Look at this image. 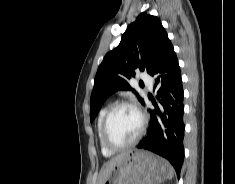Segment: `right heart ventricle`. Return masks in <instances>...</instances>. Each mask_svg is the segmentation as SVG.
<instances>
[{
  "mask_svg": "<svg viewBox=\"0 0 235 184\" xmlns=\"http://www.w3.org/2000/svg\"><path fill=\"white\" fill-rule=\"evenodd\" d=\"M109 106H105L104 108L101 109L99 116H98V120H97V125H96V134H97V139H98V143L100 145L102 154L106 157H111L114 155V152H111L109 150H107L105 148V146L103 145V142L101 140V133H102V124H103V119L104 116L108 110Z\"/></svg>",
  "mask_w": 235,
  "mask_h": 184,
  "instance_id": "e07e8e85",
  "label": "right heart ventricle"
}]
</instances>
